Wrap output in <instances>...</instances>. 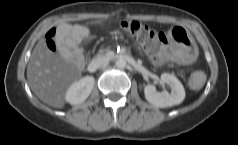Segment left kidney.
<instances>
[{"mask_svg": "<svg viewBox=\"0 0 238 145\" xmlns=\"http://www.w3.org/2000/svg\"><path fill=\"white\" fill-rule=\"evenodd\" d=\"M161 81L171 87V93L164 90L157 92L155 86L144 87L146 100L154 106L165 108L180 104L185 98V90L182 83L172 74L162 73Z\"/></svg>", "mask_w": 238, "mask_h": 145, "instance_id": "5707ae66", "label": "left kidney"}]
</instances>
